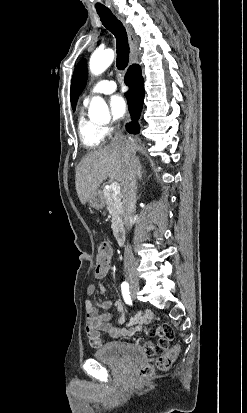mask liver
<instances>
[{"label": "liver", "instance_id": "liver-1", "mask_svg": "<svg viewBox=\"0 0 247 413\" xmlns=\"http://www.w3.org/2000/svg\"><path fill=\"white\" fill-rule=\"evenodd\" d=\"M126 150L120 142H110L103 148L90 150L81 158L75 174L76 192L80 202L86 204L90 194L98 190L101 182L110 178L122 180Z\"/></svg>", "mask_w": 247, "mask_h": 413}]
</instances>
